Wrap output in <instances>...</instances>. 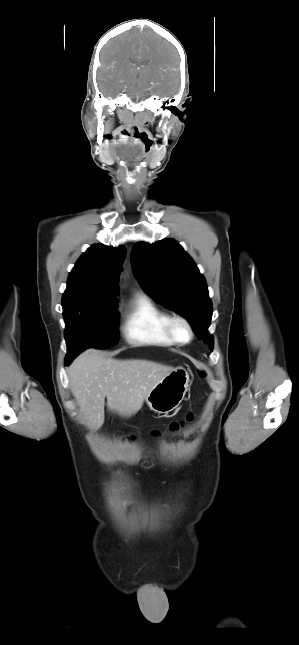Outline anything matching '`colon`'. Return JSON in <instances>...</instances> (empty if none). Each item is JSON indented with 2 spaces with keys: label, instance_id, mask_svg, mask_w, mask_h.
I'll return each mask as SVG.
<instances>
[{
  "label": "colon",
  "instance_id": "colon-1",
  "mask_svg": "<svg viewBox=\"0 0 299 645\" xmlns=\"http://www.w3.org/2000/svg\"><path fill=\"white\" fill-rule=\"evenodd\" d=\"M201 374H202V375H205V372H204V371H201ZM193 419H194V415H193V413H188V414L186 415L185 419H183V420H181V421H175V422H172V423L169 425V430H170V431H178V430H180L182 427H184L187 423L191 422ZM159 434H160V432H159V431H154V435H159Z\"/></svg>",
  "mask_w": 299,
  "mask_h": 645
}]
</instances>
